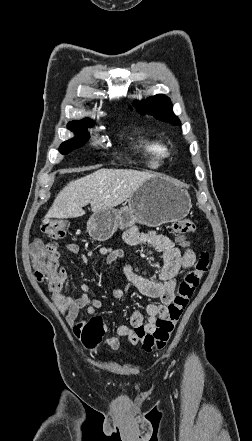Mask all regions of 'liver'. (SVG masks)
Segmentation results:
<instances>
[{
	"instance_id": "liver-1",
	"label": "liver",
	"mask_w": 252,
	"mask_h": 441,
	"mask_svg": "<svg viewBox=\"0 0 252 441\" xmlns=\"http://www.w3.org/2000/svg\"><path fill=\"white\" fill-rule=\"evenodd\" d=\"M154 174L132 169H99L70 181L56 196L45 215L49 218L83 216V207L91 205L93 213L112 209L126 201Z\"/></svg>"
}]
</instances>
